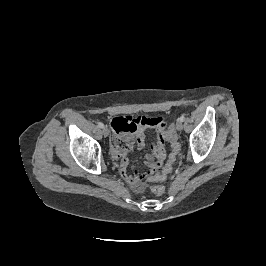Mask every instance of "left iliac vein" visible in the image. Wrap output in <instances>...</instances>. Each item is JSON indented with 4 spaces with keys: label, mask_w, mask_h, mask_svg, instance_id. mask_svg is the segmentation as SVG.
Listing matches in <instances>:
<instances>
[{
    "label": "left iliac vein",
    "mask_w": 266,
    "mask_h": 266,
    "mask_svg": "<svg viewBox=\"0 0 266 266\" xmlns=\"http://www.w3.org/2000/svg\"><path fill=\"white\" fill-rule=\"evenodd\" d=\"M176 129L178 131H182V129H183V123H182V121H180V120L177 121V123H176Z\"/></svg>",
    "instance_id": "left-iliac-vein-1"
}]
</instances>
